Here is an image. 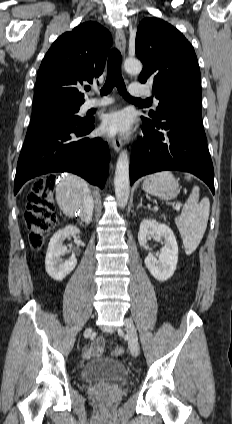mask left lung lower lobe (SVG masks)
<instances>
[{
  "instance_id": "1",
  "label": "left lung lower lobe",
  "mask_w": 232,
  "mask_h": 424,
  "mask_svg": "<svg viewBox=\"0 0 232 424\" xmlns=\"http://www.w3.org/2000/svg\"><path fill=\"white\" fill-rule=\"evenodd\" d=\"M142 121L144 138L137 140L131 152L130 183L146 174L179 170L202 179L214 194L213 164L201 106L171 105L157 119L142 117Z\"/></svg>"
}]
</instances>
